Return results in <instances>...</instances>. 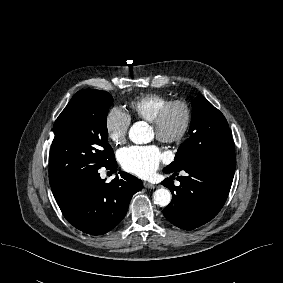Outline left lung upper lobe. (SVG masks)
Listing matches in <instances>:
<instances>
[{"mask_svg": "<svg viewBox=\"0 0 283 283\" xmlns=\"http://www.w3.org/2000/svg\"><path fill=\"white\" fill-rule=\"evenodd\" d=\"M190 137L179 147L174 161L165 167L170 171L202 161H216L235 155L228 123L223 114L205 97L192 101Z\"/></svg>", "mask_w": 283, "mask_h": 283, "instance_id": "5c2ea615", "label": "left lung upper lobe"}]
</instances>
